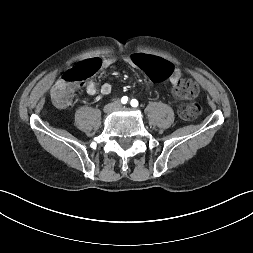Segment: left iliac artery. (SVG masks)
<instances>
[{
  "mask_svg": "<svg viewBox=\"0 0 253 253\" xmlns=\"http://www.w3.org/2000/svg\"><path fill=\"white\" fill-rule=\"evenodd\" d=\"M132 107H137L138 106V101L136 99H132L130 102Z\"/></svg>",
  "mask_w": 253,
  "mask_h": 253,
  "instance_id": "1",
  "label": "left iliac artery"
}]
</instances>
